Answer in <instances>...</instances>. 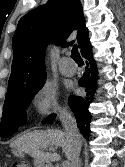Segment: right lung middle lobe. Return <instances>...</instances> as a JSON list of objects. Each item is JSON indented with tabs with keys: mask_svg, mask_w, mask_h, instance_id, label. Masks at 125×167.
<instances>
[{
	"mask_svg": "<svg viewBox=\"0 0 125 167\" xmlns=\"http://www.w3.org/2000/svg\"><path fill=\"white\" fill-rule=\"evenodd\" d=\"M44 84L18 96L6 98L3 108V116L0 125V137H8L18 131L20 126L26 122V112L28 105L35 94Z\"/></svg>",
	"mask_w": 125,
	"mask_h": 167,
	"instance_id": "right-lung-middle-lobe-1",
	"label": "right lung middle lobe"
}]
</instances>
